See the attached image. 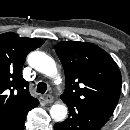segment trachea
<instances>
[{
	"label": "trachea",
	"instance_id": "1",
	"mask_svg": "<svg viewBox=\"0 0 130 130\" xmlns=\"http://www.w3.org/2000/svg\"><path fill=\"white\" fill-rule=\"evenodd\" d=\"M47 90V85L44 82H40L37 85V92L44 94Z\"/></svg>",
	"mask_w": 130,
	"mask_h": 130
}]
</instances>
